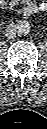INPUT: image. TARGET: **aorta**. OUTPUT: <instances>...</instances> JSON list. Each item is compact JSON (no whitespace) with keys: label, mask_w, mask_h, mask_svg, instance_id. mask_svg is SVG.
<instances>
[{"label":"aorta","mask_w":47,"mask_h":129,"mask_svg":"<svg viewBox=\"0 0 47 129\" xmlns=\"http://www.w3.org/2000/svg\"><path fill=\"white\" fill-rule=\"evenodd\" d=\"M31 30V25L28 21L22 20L19 21L16 25V32L19 35H27Z\"/></svg>","instance_id":"obj_1"}]
</instances>
